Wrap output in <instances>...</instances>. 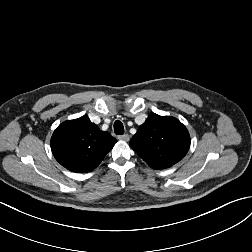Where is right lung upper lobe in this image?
<instances>
[{
    "label": "right lung upper lobe",
    "instance_id": "right-lung-upper-lobe-1",
    "mask_svg": "<svg viewBox=\"0 0 252 252\" xmlns=\"http://www.w3.org/2000/svg\"><path fill=\"white\" fill-rule=\"evenodd\" d=\"M117 142L86 116L61 123L51 138V150L65 168L77 173L90 172Z\"/></svg>",
    "mask_w": 252,
    "mask_h": 252
}]
</instances>
